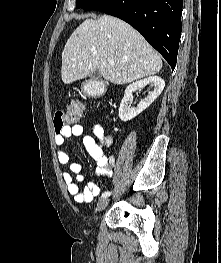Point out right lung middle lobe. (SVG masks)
Wrapping results in <instances>:
<instances>
[{
	"instance_id": "right-lung-middle-lobe-1",
	"label": "right lung middle lobe",
	"mask_w": 221,
	"mask_h": 263,
	"mask_svg": "<svg viewBox=\"0 0 221 263\" xmlns=\"http://www.w3.org/2000/svg\"><path fill=\"white\" fill-rule=\"evenodd\" d=\"M103 0H77V9L82 8L85 11L93 10L98 6Z\"/></svg>"
}]
</instances>
